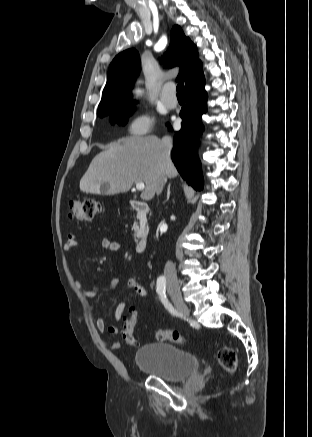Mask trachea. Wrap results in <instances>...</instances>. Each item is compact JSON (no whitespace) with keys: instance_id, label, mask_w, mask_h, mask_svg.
I'll use <instances>...</instances> for the list:
<instances>
[{"instance_id":"obj_1","label":"trachea","mask_w":312,"mask_h":437,"mask_svg":"<svg viewBox=\"0 0 312 437\" xmlns=\"http://www.w3.org/2000/svg\"><path fill=\"white\" fill-rule=\"evenodd\" d=\"M176 90H177L178 96H184V84H183V82H181L177 85Z\"/></svg>"}]
</instances>
